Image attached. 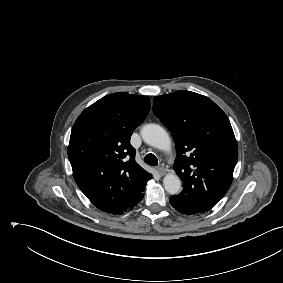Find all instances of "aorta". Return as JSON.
Returning <instances> with one entry per match:
<instances>
[{"mask_svg":"<svg viewBox=\"0 0 283 283\" xmlns=\"http://www.w3.org/2000/svg\"><path fill=\"white\" fill-rule=\"evenodd\" d=\"M141 136L145 143L160 150H169L171 140L166 130L157 124H146L141 129ZM163 184L165 190L171 194H178L181 190V181L175 173H168Z\"/></svg>","mask_w":283,"mask_h":283,"instance_id":"1","label":"aorta"}]
</instances>
